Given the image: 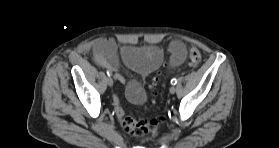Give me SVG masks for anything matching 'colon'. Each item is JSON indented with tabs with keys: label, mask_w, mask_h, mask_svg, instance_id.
<instances>
[{
	"label": "colon",
	"mask_w": 279,
	"mask_h": 148,
	"mask_svg": "<svg viewBox=\"0 0 279 148\" xmlns=\"http://www.w3.org/2000/svg\"><path fill=\"white\" fill-rule=\"evenodd\" d=\"M189 63L196 67L201 62V53L192 47L187 52ZM123 129L131 135L149 141L155 138L160 131L162 120L160 118L137 119L132 115H124L120 118Z\"/></svg>",
	"instance_id": "obj_1"
}]
</instances>
